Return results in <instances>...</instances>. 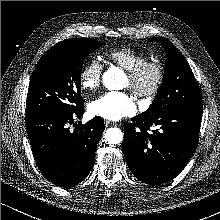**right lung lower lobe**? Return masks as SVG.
<instances>
[{
  "instance_id": "1",
  "label": "right lung lower lobe",
  "mask_w": 220,
  "mask_h": 220,
  "mask_svg": "<svg viewBox=\"0 0 220 220\" xmlns=\"http://www.w3.org/2000/svg\"><path fill=\"white\" fill-rule=\"evenodd\" d=\"M83 113V105L72 112H26L28 137L37 166L47 180L63 188L75 186L90 173L97 143L105 130L99 116L83 125L74 123ZM73 123L75 129L70 130L69 124Z\"/></svg>"
}]
</instances>
